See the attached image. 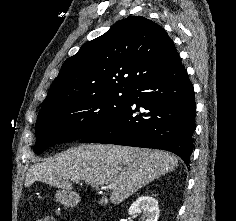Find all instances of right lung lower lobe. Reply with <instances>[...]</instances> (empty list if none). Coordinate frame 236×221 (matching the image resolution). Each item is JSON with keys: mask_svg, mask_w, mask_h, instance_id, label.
<instances>
[{"mask_svg": "<svg viewBox=\"0 0 236 221\" xmlns=\"http://www.w3.org/2000/svg\"><path fill=\"white\" fill-rule=\"evenodd\" d=\"M140 107L143 110L135 115ZM195 111L193 86L177 56L166 68L137 83L128 102L80 142L163 149L177 154L188 166Z\"/></svg>", "mask_w": 236, "mask_h": 221, "instance_id": "obj_1", "label": "right lung lower lobe"}]
</instances>
